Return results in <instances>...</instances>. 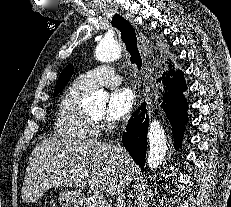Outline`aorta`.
<instances>
[{"label": "aorta", "mask_w": 231, "mask_h": 207, "mask_svg": "<svg viewBox=\"0 0 231 207\" xmlns=\"http://www.w3.org/2000/svg\"><path fill=\"white\" fill-rule=\"evenodd\" d=\"M122 55V47L115 39L103 38L97 44L95 49V56L100 62H111L117 60ZM107 101L105 92L98 91L92 93L84 101L88 108L95 105H104ZM148 140L150 151L146 160L148 169L151 171L160 167L165 159L167 151V141L162 126L158 121H152L149 125Z\"/></svg>", "instance_id": "1"}]
</instances>
